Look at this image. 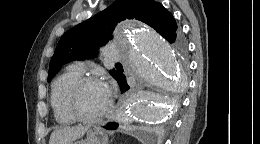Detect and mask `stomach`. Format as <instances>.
Instances as JSON below:
<instances>
[{
	"label": "stomach",
	"mask_w": 260,
	"mask_h": 144,
	"mask_svg": "<svg viewBox=\"0 0 260 144\" xmlns=\"http://www.w3.org/2000/svg\"><path fill=\"white\" fill-rule=\"evenodd\" d=\"M108 134L100 127L89 129L85 139L75 141L72 144H108Z\"/></svg>",
	"instance_id": "stomach-1"
}]
</instances>
